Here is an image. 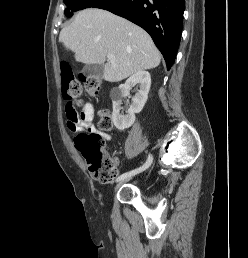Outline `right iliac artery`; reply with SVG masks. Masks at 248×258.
<instances>
[{"instance_id": "obj_1", "label": "right iliac artery", "mask_w": 248, "mask_h": 258, "mask_svg": "<svg viewBox=\"0 0 248 258\" xmlns=\"http://www.w3.org/2000/svg\"><path fill=\"white\" fill-rule=\"evenodd\" d=\"M152 161H153V157H152L151 154H149V155H148V158H147V160H146V162H145L141 167L136 168V169H134V170H131V171H129V172L123 173L122 175H120V176L117 178L116 181L123 180V179H125V178L131 177V176H133V175H135V174H137V173H140V172L144 171L145 169H147V168L151 165Z\"/></svg>"}]
</instances>
